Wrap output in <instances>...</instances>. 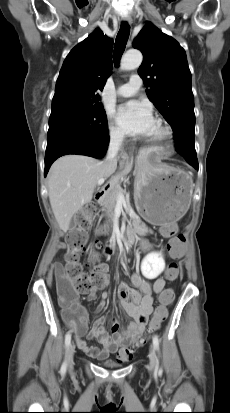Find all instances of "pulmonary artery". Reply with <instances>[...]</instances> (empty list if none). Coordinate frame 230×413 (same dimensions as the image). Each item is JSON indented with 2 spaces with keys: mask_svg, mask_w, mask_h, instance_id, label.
Returning <instances> with one entry per match:
<instances>
[{
  "mask_svg": "<svg viewBox=\"0 0 230 413\" xmlns=\"http://www.w3.org/2000/svg\"><path fill=\"white\" fill-rule=\"evenodd\" d=\"M141 85L142 79L138 75H133L126 84L116 90V95L121 97L133 96L137 93Z\"/></svg>",
  "mask_w": 230,
  "mask_h": 413,
  "instance_id": "e3ab8cb5",
  "label": "pulmonary artery"
}]
</instances>
